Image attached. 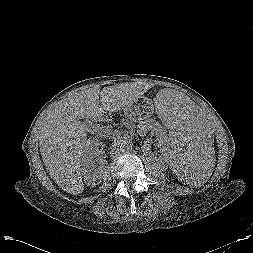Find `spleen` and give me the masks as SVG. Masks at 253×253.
Returning <instances> with one entry per match:
<instances>
[{
  "mask_svg": "<svg viewBox=\"0 0 253 253\" xmlns=\"http://www.w3.org/2000/svg\"><path fill=\"white\" fill-rule=\"evenodd\" d=\"M153 105L166 127L175 176L186 186L201 184L209 177L215 157L211 131L202 111L172 88L159 91Z\"/></svg>",
  "mask_w": 253,
  "mask_h": 253,
  "instance_id": "3e777b00",
  "label": "spleen"
}]
</instances>
